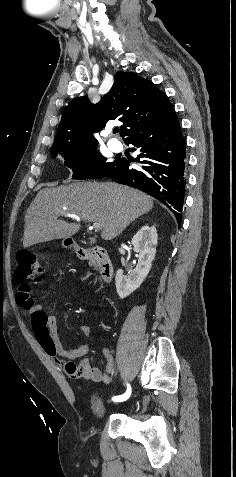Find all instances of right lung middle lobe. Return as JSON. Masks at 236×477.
<instances>
[{
  "label": "right lung middle lobe",
  "mask_w": 236,
  "mask_h": 477,
  "mask_svg": "<svg viewBox=\"0 0 236 477\" xmlns=\"http://www.w3.org/2000/svg\"><path fill=\"white\" fill-rule=\"evenodd\" d=\"M96 146L89 145L71 152L57 151L51 154L54 158H64V164L73 171L72 179H98L106 176L118 160L106 162L107 159L97 152Z\"/></svg>",
  "instance_id": "right-lung-middle-lobe-1"
}]
</instances>
